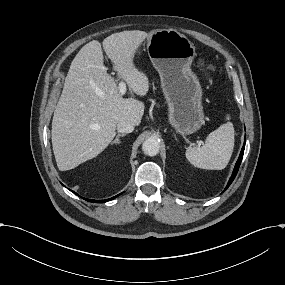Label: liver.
<instances>
[{"instance_id": "obj_1", "label": "liver", "mask_w": 285, "mask_h": 285, "mask_svg": "<svg viewBox=\"0 0 285 285\" xmlns=\"http://www.w3.org/2000/svg\"><path fill=\"white\" fill-rule=\"evenodd\" d=\"M150 36L140 30L111 34L102 44L96 40L87 43L76 55L52 120V145L60 171L72 170L101 154L114 139L120 121L140 125L144 104L123 97L106 71L102 50L130 92L145 97L150 80L136 66L135 57Z\"/></svg>"}]
</instances>
